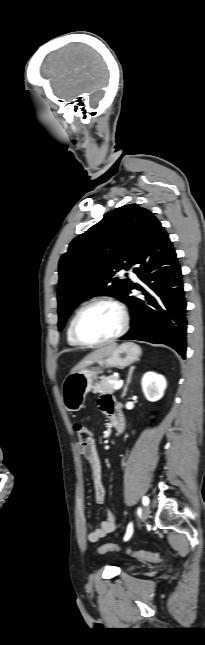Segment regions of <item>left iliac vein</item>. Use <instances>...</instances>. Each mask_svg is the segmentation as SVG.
<instances>
[{
  "instance_id": "obj_1",
  "label": "left iliac vein",
  "mask_w": 205,
  "mask_h": 645,
  "mask_svg": "<svg viewBox=\"0 0 205 645\" xmlns=\"http://www.w3.org/2000/svg\"><path fill=\"white\" fill-rule=\"evenodd\" d=\"M149 514H150V508L149 506H145L144 509L142 510L141 520H146L149 517Z\"/></svg>"
}]
</instances>
